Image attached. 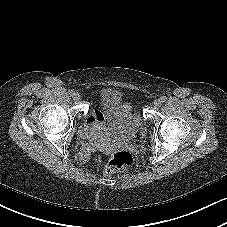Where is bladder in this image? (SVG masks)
<instances>
[{"mask_svg":"<svg viewBox=\"0 0 227 227\" xmlns=\"http://www.w3.org/2000/svg\"><path fill=\"white\" fill-rule=\"evenodd\" d=\"M94 113H101V136L106 143H126L134 140L141 130V119L134 106L114 90L104 91Z\"/></svg>","mask_w":227,"mask_h":227,"instance_id":"1","label":"bladder"}]
</instances>
